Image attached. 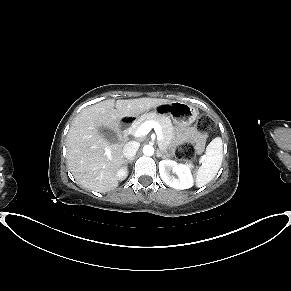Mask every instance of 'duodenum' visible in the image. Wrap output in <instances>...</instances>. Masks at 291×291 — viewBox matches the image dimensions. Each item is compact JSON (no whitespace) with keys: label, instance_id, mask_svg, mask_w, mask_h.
Segmentation results:
<instances>
[{"label":"duodenum","instance_id":"410a0bca","mask_svg":"<svg viewBox=\"0 0 291 291\" xmlns=\"http://www.w3.org/2000/svg\"><path fill=\"white\" fill-rule=\"evenodd\" d=\"M130 122H131V119H128V120L124 121V123L122 124V126H125V125L130 124Z\"/></svg>","mask_w":291,"mask_h":291}]
</instances>
